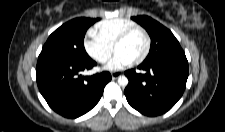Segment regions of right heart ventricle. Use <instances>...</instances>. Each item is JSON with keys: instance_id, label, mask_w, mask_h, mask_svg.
Listing matches in <instances>:
<instances>
[{"instance_id": "obj_1", "label": "right heart ventricle", "mask_w": 225, "mask_h": 132, "mask_svg": "<svg viewBox=\"0 0 225 132\" xmlns=\"http://www.w3.org/2000/svg\"><path fill=\"white\" fill-rule=\"evenodd\" d=\"M134 26H137V24L126 18L108 19L95 25L94 34L99 40L113 47L119 35Z\"/></svg>"}]
</instances>
